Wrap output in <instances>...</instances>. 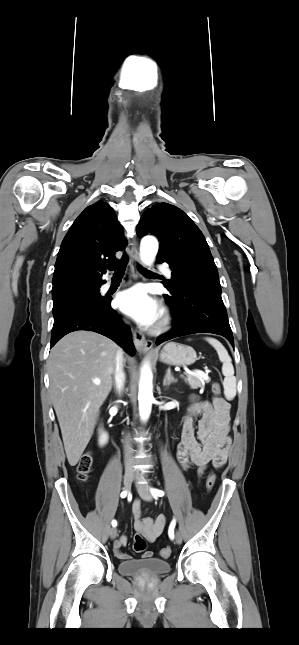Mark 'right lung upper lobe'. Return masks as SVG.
Masks as SVG:
<instances>
[{"instance_id": "right-lung-upper-lobe-1", "label": "right lung upper lobe", "mask_w": 299, "mask_h": 645, "mask_svg": "<svg viewBox=\"0 0 299 645\" xmlns=\"http://www.w3.org/2000/svg\"><path fill=\"white\" fill-rule=\"evenodd\" d=\"M127 246L123 228L111 206L98 202L85 208L65 235L55 263L52 291L77 284H103L105 263H114Z\"/></svg>"}]
</instances>
